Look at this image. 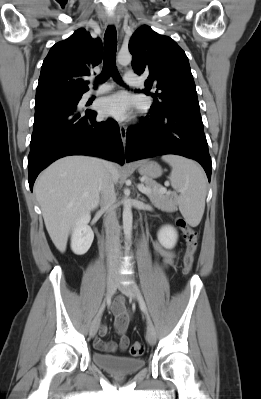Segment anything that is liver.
<instances>
[{
    "instance_id": "obj_1",
    "label": "liver",
    "mask_w": 261,
    "mask_h": 399,
    "mask_svg": "<svg viewBox=\"0 0 261 399\" xmlns=\"http://www.w3.org/2000/svg\"><path fill=\"white\" fill-rule=\"evenodd\" d=\"M106 171L117 183L119 171L114 163L96 157L69 156L51 164L37 179L36 199L49 236L60 252H65L77 220L98 207Z\"/></svg>"
}]
</instances>
